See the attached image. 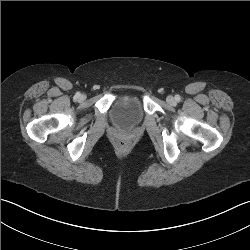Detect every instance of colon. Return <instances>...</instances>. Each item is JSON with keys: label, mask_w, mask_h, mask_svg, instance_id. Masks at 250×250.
Here are the masks:
<instances>
[{"label": "colon", "mask_w": 250, "mask_h": 250, "mask_svg": "<svg viewBox=\"0 0 250 250\" xmlns=\"http://www.w3.org/2000/svg\"><path fill=\"white\" fill-rule=\"evenodd\" d=\"M117 145L119 148L125 149L128 146V142L126 140L121 139L117 142Z\"/></svg>", "instance_id": "1"}]
</instances>
